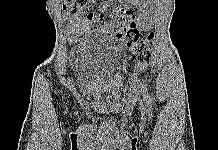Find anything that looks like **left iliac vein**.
<instances>
[{"label": "left iliac vein", "instance_id": "1", "mask_svg": "<svg viewBox=\"0 0 218 150\" xmlns=\"http://www.w3.org/2000/svg\"><path fill=\"white\" fill-rule=\"evenodd\" d=\"M140 107H141V109H142L143 112L146 111L145 106H144V103H143V101H142L141 99H140Z\"/></svg>", "mask_w": 218, "mask_h": 150}]
</instances>
